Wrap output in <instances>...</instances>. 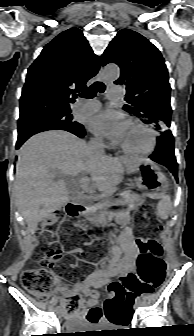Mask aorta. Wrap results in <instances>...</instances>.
Here are the masks:
<instances>
[{
    "mask_svg": "<svg viewBox=\"0 0 194 336\" xmlns=\"http://www.w3.org/2000/svg\"><path fill=\"white\" fill-rule=\"evenodd\" d=\"M106 79L115 80L119 77L120 71L117 65H106L102 71Z\"/></svg>",
    "mask_w": 194,
    "mask_h": 336,
    "instance_id": "1",
    "label": "aorta"
}]
</instances>
